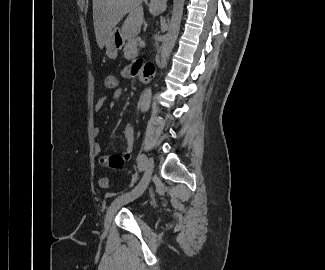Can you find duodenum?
<instances>
[{
    "mask_svg": "<svg viewBox=\"0 0 325 270\" xmlns=\"http://www.w3.org/2000/svg\"><path fill=\"white\" fill-rule=\"evenodd\" d=\"M141 80H142V81H146L147 78H146L145 76H143V77L141 78Z\"/></svg>",
    "mask_w": 325,
    "mask_h": 270,
    "instance_id": "1",
    "label": "duodenum"
}]
</instances>
